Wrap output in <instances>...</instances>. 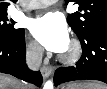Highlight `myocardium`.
I'll list each match as a JSON object with an SVG mask.
<instances>
[{
    "label": "myocardium",
    "mask_w": 107,
    "mask_h": 89,
    "mask_svg": "<svg viewBox=\"0 0 107 89\" xmlns=\"http://www.w3.org/2000/svg\"><path fill=\"white\" fill-rule=\"evenodd\" d=\"M82 55V47L77 39H72L67 50L59 57L60 61L67 65L78 62Z\"/></svg>",
    "instance_id": "f54148a6"
}]
</instances>
